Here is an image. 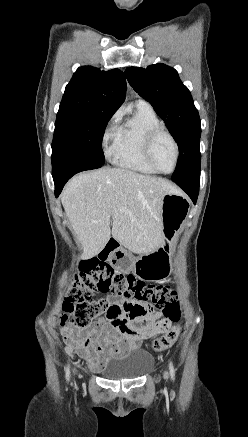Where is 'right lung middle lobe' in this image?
Wrapping results in <instances>:
<instances>
[{"label":"right lung middle lobe","mask_w":248,"mask_h":437,"mask_svg":"<svg viewBox=\"0 0 248 437\" xmlns=\"http://www.w3.org/2000/svg\"><path fill=\"white\" fill-rule=\"evenodd\" d=\"M111 117L59 109L52 142V166L71 160L102 166L105 157L101 142Z\"/></svg>","instance_id":"obj_1"}]
</instances>
